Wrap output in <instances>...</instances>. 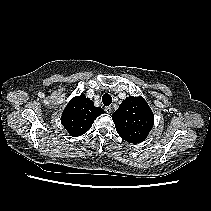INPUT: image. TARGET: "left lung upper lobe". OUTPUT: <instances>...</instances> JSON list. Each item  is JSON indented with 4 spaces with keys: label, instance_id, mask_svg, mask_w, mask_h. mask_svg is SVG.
Returning a JSON list of instances; mask_svg holds the SVG:
<instances>
[{
    "label": "left lung upper lobe",
    "instance_id": "5c2ea615",
    "mask_svg": "<svg viewBox=\"0 0 211 211\" xmlns=\"http://www.w3.org/2000/svg\"><path fill=\"white\" fill-rule=\"evenodd\" d=\"M117 133L129 143L145 140L154 124V116L142 97H129L112 114Z\"/></svg>",
    "mask_w": 211,
    "mask_h": 211
}]
</instances>
